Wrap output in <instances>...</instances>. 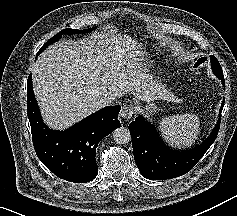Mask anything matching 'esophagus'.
Instances as JSON below:
<instances>
[{
	"instance_id": "34e87169",
	"label": "esophagus",
	"mask_w": 237,
	"mask_h": 216,
	"mask_svg": "<svg viewBox=\"0 0 237 216\" xmlns=\"http://www.w3.org/2000/svg\"><path fill=\"white\" fill-rule=\"evenodd\" d=\"M134 115V106L133 105H124L120 112V118L123 120H130Z\"/></svg>"
}]
</instances>
